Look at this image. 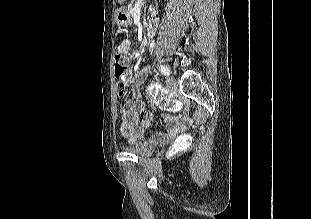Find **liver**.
Listing matches in <instances>:
<instances>
[{"label": "liver", "mask_w": 311, "mask_h": 219, "mask_svg": "<svg viewBox=\"0 0 311 219\" xmlns=\"http://www.w3.org/2000/svg\"><path fill=\"white\" fill-rule=\"evenodd\" d=\"M119 1V3H123L124 2V0H118Z\"/></svg>", "instance_id": "1"}]
</instances>
